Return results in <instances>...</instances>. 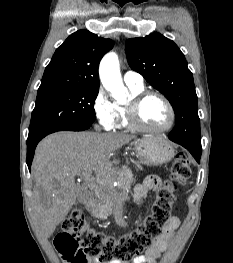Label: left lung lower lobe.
<instances>
[{
    "instance_id": "0a47b994",
    "label": "left lung lower lobe",
    "mask_w": 233,
    "mask_h": 263,
    "mask_svg": "<svg viewBox=\"0 0 233 263\" xmlns=\"http://www.w3.org/2000/svg\"><path fill=\"white\" fill-rule=\"evenodd\" d=\"M175 143H178V144L182 145L183 147H185L194 156V158L197 160V162L198 163L200 162L201 149H199L195 145L186 144V143H183V142H175Z\"/></svg>"
}]
</instances>
